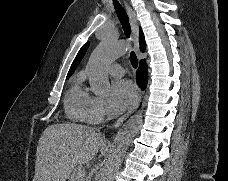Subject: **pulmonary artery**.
I'll list each match as a JSON object with an SVG mask.
<instances>
[{
	"instance_id": "1",
	"label": "pulmonary artery",
	"mask_w": 228,
	"mask_h": 181,
	"mask_svg": "<svg viewBox=\"0 0 228 181\" xmlns=\"http://www.w3.org/2000/svg\"><path fill=\"white\" fill-rule=\"evenodd\" d=\"M110 69L112 70V72H116V73H122L123 69L121 68L120 65H111Z\"/></svg>"
}]
</instances>
